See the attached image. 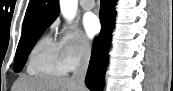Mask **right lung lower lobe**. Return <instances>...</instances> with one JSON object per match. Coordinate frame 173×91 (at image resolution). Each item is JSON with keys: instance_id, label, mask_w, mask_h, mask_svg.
Returning a JSON list of instances; mask_svg holds the SVG:
<instances>
[{"instance_id": "right-lung-lower-lobe-1", "label": "right lung lower lobe", "mask_w": 173, "mask_h": 91, "mask_svg": "<svg viewBox=\"0 0 173 91\" xmlns=\"http://www.w3.org/2000/svg\"><path fill=\"white\" fill-rule=\"evenodd\" d=\"M116 0H101V31L95 38L91 59L86 75V85L91 91H102L105 71L108 64V51L111 45L112 30L115 26Z\"/></svg>"}]
</instances>
